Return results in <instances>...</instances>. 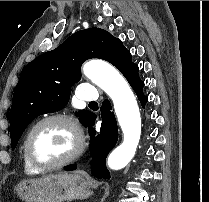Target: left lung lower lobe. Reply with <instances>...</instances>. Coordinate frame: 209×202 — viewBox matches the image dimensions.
<instances>
[{
	"label": "left lung lower lobe",
	"instance_id": "left-lung-lower-lobe-1",
	"mask_svg": "<svg viewBox=\"0 0 209 202\" xmlns=\"http://www.w3.org/2000/svg\"><path fill=\"white\" fill-rule=\"evenodd\" d=\"M138 66L135 65L124 76L137 94L142 107H145L147 97L143 94L144 82L139 78ZM101 110L102 124L101 131L96 135L93 129L94 116L87 127H89L90 135V156L92 157L91 168L92 175L97 178H110L109 171L106 168L105 160L108 153L113 149L118 140V128L112 107L108 100H104ZM76 166L66 168L67 171L75 170Z\"/></svg>",
	"mask_w": 209,
	"mask_h": 202
}]
</instances>
